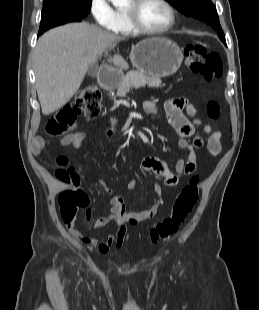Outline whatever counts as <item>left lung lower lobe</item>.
I'll list each match as a JSON object with an SVG mask.
<instances>
[{
  "instance_id": "left-lung-lower-lobe-1",
  "label": "left lung lower lobe",
  "mask_w": 259,
  "mask_h": 310,
  "mask_svg": "<svg viewBox=\"0 0 259 310\" xmlns=\"http://www.w3.org/2000/svg\"><path fill=\"white\" fill-rule=\"evenodd\" d=\"M220 39L226 45L225 37H220Z\"/></svg>"
}]
</instances>
